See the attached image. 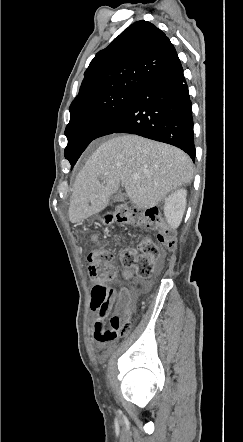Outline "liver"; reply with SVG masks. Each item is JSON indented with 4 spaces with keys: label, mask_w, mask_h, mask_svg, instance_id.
I'll use <instances>...</instances> for the list:
<instances>
[{
    "label": "liver",
    "mask_w": 243,
    "mask_h": 442,
    "mask_svg": "<svg viewBox=\"0 0 243 442\" xmlns=\"http://www.w3.org/2000/svg\"><path fill=\"white\" fill-rule=\"evenodd\" d=\"M134 173L139 174L138 179L132 178ZM193 173L190 157L176 147L137 135L112 137L93 152L78 173L69 220L78 223L104 210L121 182L136 207L151 208L171 191L190 183Z\"/></svg>",
    "instance_id": "liver-1"
}]
</instances>
